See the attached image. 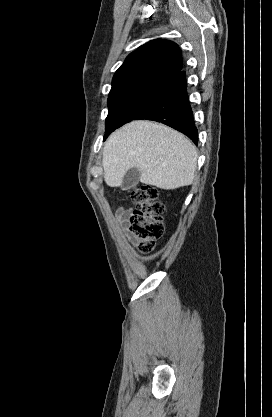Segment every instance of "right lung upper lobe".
<instances>
[{
  "instance_id": "cb5924a9",
  "label": "right lung upper lobe",
  "mask_w": 272,
  "mask_h": 417,
  "mask_svg": "<svg viewBox=\"0 0 272 417\" xmlns=\"http://www.w3.org/2000/svg\"><path fill=\"white\" fill-rule=\"evenodd\" d=\"M183 67L177 44L152 40L129 54L114 74L109 96L135 88H162Z\"/></svg>"
}]
</instances>
